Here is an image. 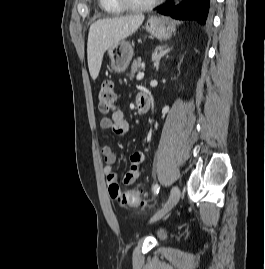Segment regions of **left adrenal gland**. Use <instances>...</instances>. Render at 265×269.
Instances as JSON below:
<instances>
[{"label":"left adrenal gland","mask_w":265,"mask_h":269,"mask_svg":"<svg viewBox=\"0 0 265 269\" xmlns=\"http://www.w3.org/2000/svg\"><path fill=\"white\" fill-rule=\"evenodd\" d=\"M170 50H171V48H169L168 45H163V46L157 47L155 49V51L152 54V61L154 63V68L156 71L159 68L160 59L163 56L167 55Z\"/></svg>","instance_id":"obj_1"}]
</instances>
